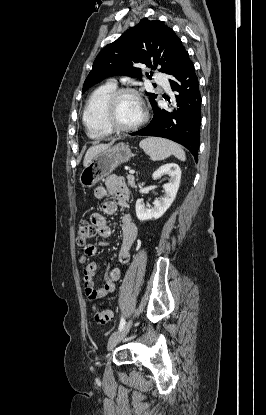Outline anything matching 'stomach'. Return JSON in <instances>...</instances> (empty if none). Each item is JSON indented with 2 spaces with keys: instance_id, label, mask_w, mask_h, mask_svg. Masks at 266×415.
<instances>
[{
  "instance_id": "stomach-1",
  "label": "stomach",
  "mask_w": 266,
  "mask_h": 415,
  "mask_svg": "<svg viewBox=\"0 0 266 415\" xmlns=\"http://www.w3.org/2000/svg\"><path fill=\"white\" fill-rule=\"evenodd\" d=\"M132 156L129 146L118 143L102 150L84 167L79 176L83 188H91L101 179L108 176L118 165L130 160Z\"/></svg>"
}]
</instances>
